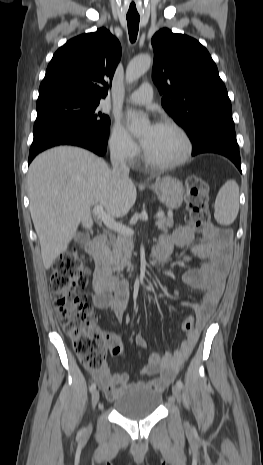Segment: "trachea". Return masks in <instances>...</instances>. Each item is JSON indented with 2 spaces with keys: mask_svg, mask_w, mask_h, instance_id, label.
<instances>
[{
  "mask_svg": "<svg viewBox=\"0 0 263 465\" xmlns=\"http://www.w3.org/2000/svg\"><path fill=\"white\" fill-rule=\"evenodd\" d=\"M127 24H128V33L130 41L133 43L137 39L138 29H139V16H127Z\"/></svg>",
  "mask_w": 263,
  "mask_h": 465,
  "instance_id": "1",
  "label": "trachea"
}]
</instances>
